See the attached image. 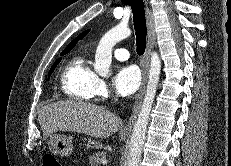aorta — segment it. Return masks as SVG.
Here are the masks:
<instances>
[{
	"instance_id": "aorta-1",
	"label": "aorta",
	"mask_w": 231,
	"mask_h": 166,
	"mask_svg": "<svg viewBox=\"0 0 231 166\" xmlns=\"http://www.w3.org/2000/svg\"><path fill=\"white\" fill-rule=\"evenodd\" d=\"M130 35L131 30L128 28L127 24L121 23L109 30L101 38L96 49L94 63L95 71L100 76L107 77L110 73L112 50L115 44ZM160 72L161 61L159 55L156 52H153L151 54L150 70L145 96L130 140L127 166H139L140 164L149 115L156 95Z\"/></svg>"
}]
</instances>
